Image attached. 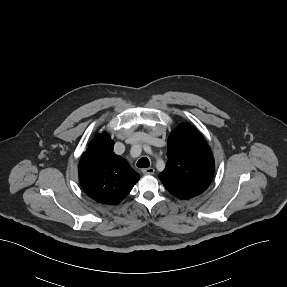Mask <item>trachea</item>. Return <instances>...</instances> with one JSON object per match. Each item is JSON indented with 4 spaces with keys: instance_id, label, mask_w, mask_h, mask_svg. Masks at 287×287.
<instances>
[{
    "instance_id": "3493384b",
    "label": "trachea",
    "mask_w": 287,
    "mask_h": 287,
    "mask_svg": "<svg viewBox=\"0 0 287 287\" xmlns=\"http://www.w3.org/2000/svg\"><path fill=\"white\" fill-rule=\"evenodd\" d=\"M136 165L138 168H148L150 166V162H149L148 158L143 157V158L138 160Z\"/></svg>"
}]
</instances>
